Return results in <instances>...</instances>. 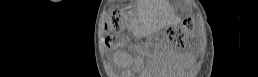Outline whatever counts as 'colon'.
Returning a JSON list of instances; mask_svg holds the SVG:
<instances>
[{"label": "colon", "instance_id": "1", "mask_svg": "<svg viewBox=\"0 0 258 77\" xmlns=\"http://www.w3.org/2000/svg\"><path fill=\"white\" fill-rule=\"evenodd\" d=\"M125 13L120 10L113 11L109 21L105 26L107 34L119 33L123 28ZM193 33V25L190 21H185L182 25L172 26L165 32V40L175 45L181 44L186 37Z\"/></svg>", "mask_w": 258, "mask_h": 77}]
</instances>
